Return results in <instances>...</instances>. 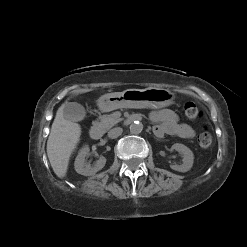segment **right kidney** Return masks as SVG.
I'll return each instance as SVG.
<instances>
[{
    "label": "right kidney",
    "instance_id": "right-kidney-1",
    "mask_svg": "<svg viewBox=\"0 0 247 247\" xmlns=\"http://www.w3.org/2000/svg\"><path fill=\"white\" fill-rule=\"evenodd\" d=\"M89 151V147L84 146L78 153L74 163L76 172L84 176L94 175L106 164V158L104 156H100L99 159L92 166L90 164H87L86 157L89 155Z\"/></svg>",
    "mask_w": 247,
    "mask_h": 247
}]
</instances>
